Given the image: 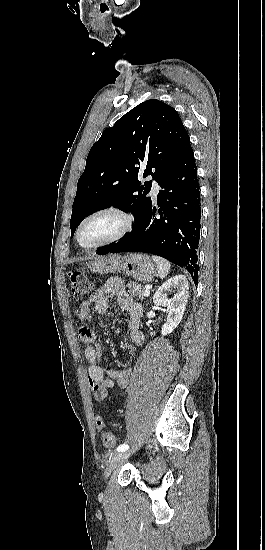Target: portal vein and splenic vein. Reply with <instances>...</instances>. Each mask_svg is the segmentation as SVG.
<instances>
[{
	"label": "portal vein and splenic vein",
	"instance_id": "1",
	"mask_svg": "<svg viewBox=\"0 0 265 550\" xmlns=\"http://www.w3.org/2000/svg\"><path fill=\"white\" fill-rule=\"evenodd\" d=\"M150 295V291L148 289L144 290L143 296L148 297Z\"/></svg>",
	"mask_w": 265,
	"mask_h": 550
}]
</instances>
